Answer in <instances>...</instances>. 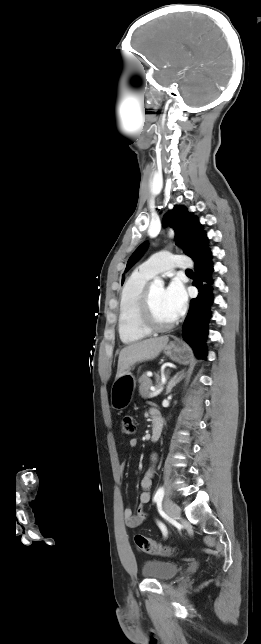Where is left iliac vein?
Listing matches in <instances>:
<instances>
[{"instance_id": "1", "label": "left iliac vein", "mask_w": 261, "mask_h": 644, "mask_svg": "<svg viewBox=\"0 0 261 644\" xmlns=\"http://www.w3.org/2000/svg\"><path fill=\"white\" fill-rule=\"evenodd\" d=\"M164 508L167 512V514L173 518V519H178L180 517V508L179 506L174 503L171 500H166L164 504Z\"/></svg>"}]
</instances>
